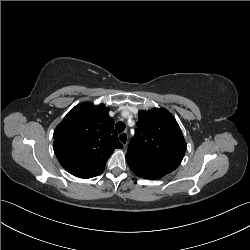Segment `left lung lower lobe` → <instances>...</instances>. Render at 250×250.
Listing matches in <instances>:
<instances>
[{
	"mask_svg": "<svg viewBox=\"0 0 250 250\" xmlns=\"http://www.w3.org/2000/svg\"><path fill=\"white\" fill-rule=\"evenodd\" d=\"M131 170L145 179H158L166 175L165 172L157 169L151 159H141L137 166L131 167Z\"/></svg>",
	"mask_w": 250,
	"mask_h": 250,
	"instance_id": "obj_1",
	"label": "left lung lower lobe"
}]
</instances>
